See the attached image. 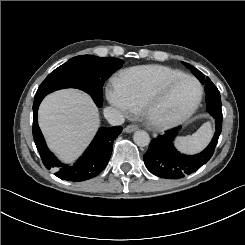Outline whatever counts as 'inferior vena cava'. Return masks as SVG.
I'll list each match as a JSON object with an SVG mask.
<instances>
[{
    "label": "inferior vena cava",
    "instance_id": "1",
    "mask_svg": "<svg viewBox=\"0 0 245 245\" xmlns=\"http://www.w3.org/2000/svg\"><path fill=\"white\" fill-rule=\"evenodd\" d=\"M104 116L113 126L121 125L124 122V115L117 108L108 106L104 108Z\"/></svg>",
    "mask_w": 245,
    "mask_h": 245
}]
</instances>
